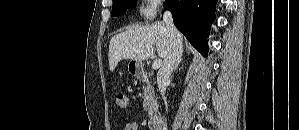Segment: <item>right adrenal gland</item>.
I'll return each mask as SVG.
<instances>
[{"instance_id": "right-adrenal-gland-1", "label": "right adrenal gland", "mask_w": 299, "mask_h": 130, "mask_svg": "<svg viewBox=\"0 0 299 130\" xmlns=\"http://www.w3.org/2000/svg\"><path fill=\"white\" fill-rule=\"evenodd\" d=\"M181 60L177 63V65L175 66L174 68V71H177L178 70V67H179V64H180Z\"/></svg>"}]
</instances>
